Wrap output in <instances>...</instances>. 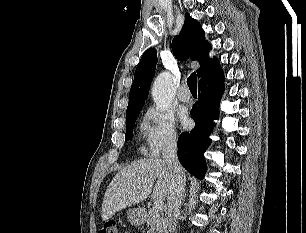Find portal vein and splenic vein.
Returning <instances> with one entry per match:
<instances>
[{
	"instance_id": "18ae733b",
	"label": "portal vein and splenic vein",
	"mask_w": 306,
	"mask_h": 233,
	"mask_svg": "<svg viewBox=\"0 0 306 233\" xmlns=\"http://www.w3.org/2000/svg\"><path fill=\"white\" fill-rule=\"evenodd\" d=\"M163 205H164V201L160 198H158L154 201V208L155 209H161L163 207Z\"/></svg>"
}]
</instances>
